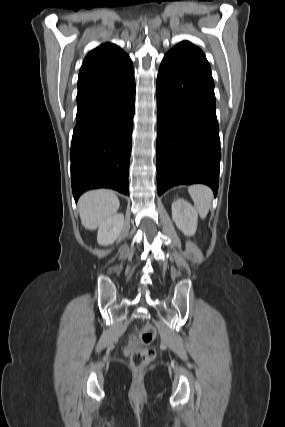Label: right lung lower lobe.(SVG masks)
Returning <instances> with one entry per match:
<instances>
[{
	"label": "right lung lower lobe",
	"mask_w": 285,
	"mask_h": 427,
	"mask_svg": "<svg viewBox=\"0 0 285 427\" xmlns=\"http://www.w3.org/2000/svg\"><path fill=\"white\" fill-rule=\"evenodd\" d=\"M134 104V69L77 94L70 151L75 201L83 192L101 187L129 195Z\"/></svg>",
	"instance_id": "98d812e1"
}]
</instances>
